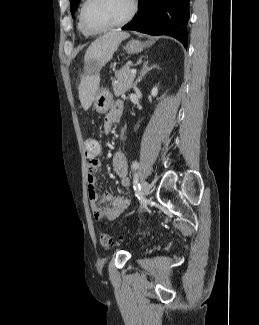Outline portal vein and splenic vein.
I'll list each match as a JSON object with an SVG mask.
<instances>
[{
  "label": "portal vein and splenic vein",
  "mask_w": 259,
  "mask_h": 325,
  "mask_svg": "<svg viewBox=\"0 0 259 325\" xmlns=\"http://www.w3.org/2000/svg\"><path fill=\"white\" fill-rule=\"evenodd\" d=\"M131 73L132 74H136L137 73V70L136 69H131Z\"/></svg>",
  "instance_id": "1"
}]
</instances>
